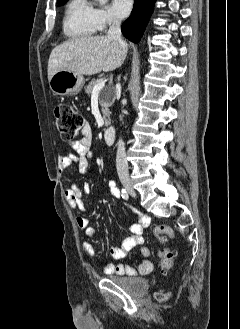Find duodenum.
Returning a JSON list of instances; mask_svg holds the SVG:
<instances>
[{"label":"duodenum","mask_w":240,"mask_h":329,"mask_svg":"<svg viewBox=\"0 0 240 329\" xmlns=\"http://www.w3.org/2000/svg\"><path fill=\"white\" fill-rule=\"evenodd\" d=\"M103 138L107 144H113L115 140V129L113 126H109L104 130Z\"/></svg>","instance_id":"duodenum-1"}]
</instances>
